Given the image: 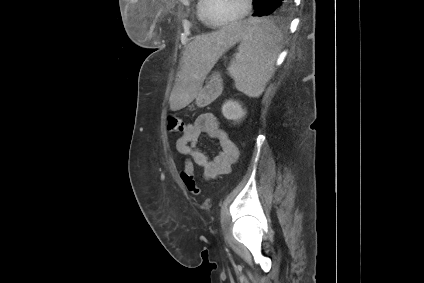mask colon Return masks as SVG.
I'll return each instance as SVG.
<instances>
[{"instance_id": "colon-1", "label": "colon", "mask_w": 424, "mask_h": 283, "mask_svg": "<svg viewBox=\"0 0 424 283\" xmlns=\"http://www.w3.org/2000/svg\"><path fill=\"white\" fill-rule=\"evenodd\" d=\"M167 127L172 133H180L184 130V121L177 115H171L168 118ZM182 181L187 190L195 196L201 194V189L198 186L194 176V166L191 162L187 161L184 165V170L181 174Z\"/></svg>"}]
</instances>
